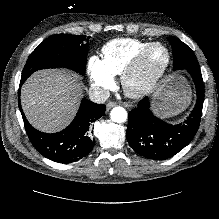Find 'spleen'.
<instances>
[{
	"label": "spleen",
	"instance_id": "3e777b00",
	"mask_svg": "<svg viewBox=\"0 0 219 219\" xmlns=\"http://www.w3.org/2000/svg\"><path fill=\"white\" fill-rule=\"evenodd\" d=\"M172 92L174 93V98L170 100V104L168 106H180L186 105L189 102V95L187 94V90L182 85H174Z\"/></svg>",
	"mask_w": 219,
	"mask_h": 219
}]
</instances>
